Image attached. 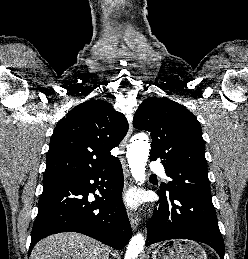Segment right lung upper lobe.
Masks as SVG:
<instances>
[{
    "label": "right lung upper lobe",
    "instance_id": "cb5924a9",
    "mask_svg": "<svg viewBox=\"0 0 248 259\" xmlns=\"http://www.w3.org/2000/svg\"><path fill=\"white\" fill-rule=\"evenodd\" d=\"M128 130L122 113L103 100L77 105L58 122L50 140L43 184L105 169L110 151Z\"/></svg>",
    "mask_w": 248,
    "mask_h": 259
}]
</instances>
